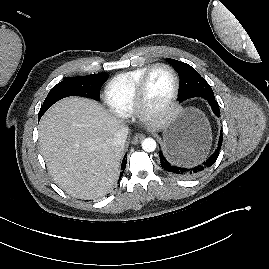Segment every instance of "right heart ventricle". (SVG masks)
I'll return each mask as SVG.
<instances>
[{"label": "right heart ventricle", "mask_w": 269, "mask_h": 269, "mask_svg": "<svg viewBox=\"0 0 269 269\" xmlns=\"http://www.w3.org/2000/svg\"><path fill=\"white\" fill-rule=\"evenodd\" d=\"M148 66L115 75L106 85L104 98L110 109L120 116L134 112L137 84Z\"/></svg>", "instance_id": "e07e8e85"}]
</instances>
